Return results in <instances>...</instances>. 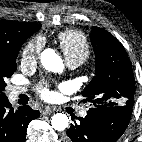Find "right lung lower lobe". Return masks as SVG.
I'll list each match as a JSON object with an SVG mask.
<instances>
[{"label": "right lung lower lobe", "mask_w": 142, "mask_h": 142, "mask_svg": "<svg viewBox=\"0 0 142 142\" xmlns=\"http://www.w3.org/2000/svg\"><path fill=\"white\" fill-rule=\"evenodd\" d=\"M39 116L29 106L14 111L7 98L0 100V142H25L28 124Z\"/></svg>", "instance_id": "98d812e1"}]
</instances>
